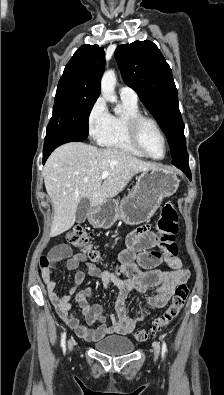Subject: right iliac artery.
<instances>
[{
    "label": "right iliac artery",
    "mask_w": 224,
    "mask_h": 395,
    "mask_svg": "<svg viewBox=\"0 0 224 395\" xmlns=\"http://www.w3.org/2000/svg\"><path fill=\"white\" fill-rule=\"evenodd\" d=\"M65 340H66V332H64L61 336V347L64 352H65V343H66Z\"/></svg>",
    "instance_id": "82829eb1"
}]
</instances>
